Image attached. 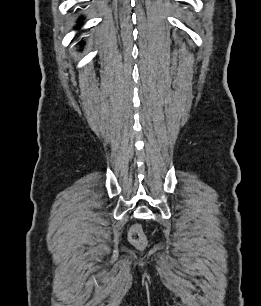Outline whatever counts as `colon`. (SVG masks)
I'll use <instances>...</instances> for the list:
<instances>
[{"label": "colon", "instance_id": "5ec220e1", "mask_svg": "<svg viewBox=\"0 0 261 306\" xmlns=\"http://www.w3.org/2000/svg\"><path fill=\"white\" fill-rule=\"evenodd\" d=\"M129 239L136 247H143L146 244L145 235L139 225H134L129 231Z\"/></svg>", "mask_w": 261, "mask_h": 306}]
</instances>
